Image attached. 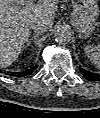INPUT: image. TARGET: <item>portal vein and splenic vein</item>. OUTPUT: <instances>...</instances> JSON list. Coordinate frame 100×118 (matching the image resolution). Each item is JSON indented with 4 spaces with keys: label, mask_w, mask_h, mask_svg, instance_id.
<instances>
[{
    "label": "portal vein and splenic vein",
    "mask_w": 100,
    "mask_h": 118,
    "mask_svg": "<svg viewBox=\"0 0 100 118\" xmlns=\"http://www.w3.org/2000/svg\"><path fill=\"white\" fill-rule=\"evenodd\" d=\"M35 0H28L24 2L23 0L19 3V8L26 9V8H32L34 6Z\"/></svg>",
    "instance_id": "1"
}]
</instances>
